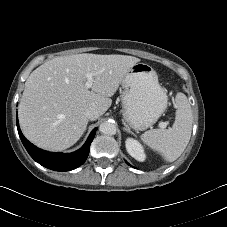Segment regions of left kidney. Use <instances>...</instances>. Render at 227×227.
Wrapping results in <instances>:
<instances>
[{"label":"left kidney","instance_id":"left-kidney-1","mask_svg":"<svg viewBox=\"0 0 227 227\" xmlns=\"http://www.w3.org/2000/svg\"><path fill=\"white\" fill-rule=\"evenodd\" d=\"M127 152L136 160L143 162L146 158L142 145L133 138L125 141Z\"/></svg>","mask_w":227,"mask_h":227}]
</instances>
